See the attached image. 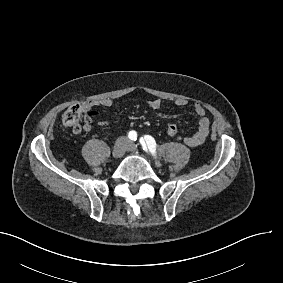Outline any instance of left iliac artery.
Wrapping results in <instances>:
<instances>
[{
	"mask_svg": "<svg viewBox=\"0 0 283 283\" xmlns=\"http://www.w3.org/2000/svg\"><path fill=\"white\" fill-rule=\"evenodd\" d=\"M139 142L142 145V148H143L144 151L147 152V150H149L152 154L155 155V153H156V142H155V140L152 136L145 135L144 138H140Z\"/></svg>",
	"mask_w": 283,
	"mask_h": 283,
	"instance_id": "obj_1",
	"label": "left iliac artery"
}]
</instances>
